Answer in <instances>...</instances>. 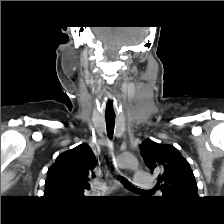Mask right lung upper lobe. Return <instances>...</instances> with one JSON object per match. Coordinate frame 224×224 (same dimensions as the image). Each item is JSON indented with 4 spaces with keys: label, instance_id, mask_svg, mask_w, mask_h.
Returning <instances> with one entry per match:
<instances>
[{
    "label": "right lung upper lobe",
    "instance_id": "1",
    "mask_svg": "<svg viewBox=\"0 0 224 224\" xmlns=\"http://www.w3.org/2000/svg\"><path fill=\"white\" fill-rule=\"evenodd\" d=\"M96 158L87 144L60 154L48 169L45 182V197L71 198L83 197L89 189V177L94 176Z\"/></svg>",
    "mask_w": 224,
    "mask_h": 224
}]
</instances>
